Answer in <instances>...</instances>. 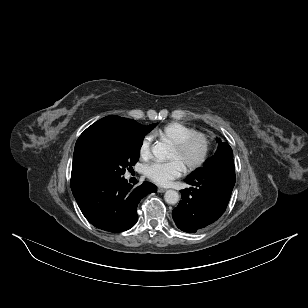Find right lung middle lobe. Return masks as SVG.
<instances>
[{"instance_id":"1","label":"right lung middle lobe","mask_w":308,"mask_h":308,"mask_svg":"<svg viewBox=\"0 0 308 308\" xmlns=\"http://www.w3.org/2000/svg\"><path fill=\"white\" fill-rule=\"evenodd\" d=\"M156 125H141L133 135L116 137L100 144L93 154L95 178L122 177L125 170L138 161L144 136Z\"/></svg>"}]
</instances>
